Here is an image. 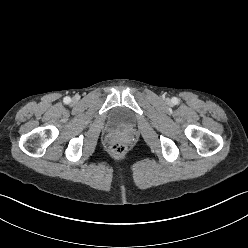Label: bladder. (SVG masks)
I'll use <instances>...</instances> for the list:
<instances>
[{
  "instance_id": "bladder-1",
  "label": "bladder",
  "mask_w": 248,
  "mask_h": 248,
  "mask_svg": "<svg viewBox=\"0 0 248 248\" xmlns=\"http://www.w3.org/2000/svg\"><path fill=\"white\" fill-rule=\"evenodd\" d=\"M109 123L115 127H124L131 125L133 123V119L127 109L117 107L110 112Z\"/></svg>"
}]
</instances>
